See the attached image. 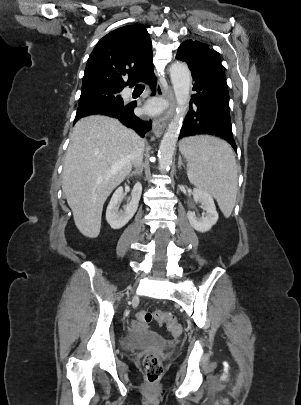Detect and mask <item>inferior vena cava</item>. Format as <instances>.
I'll list each match as a JSON object with an SVG mask.
<instances>
[{"label":"inferior vena cava","mask_w":301,"mask_h":405,"mask_svg":"<svg viewBox=\"0 0 301 405\" xmlns=\"http://www.w3.org/2000/svg\"><path fill=\"white\" fill-rule=\"evenodd\" d=\"M143 152H144V141L141 138L137 137L131 152L132 164L137 169H139L142 166Z\"/></svg>","instance_id":"602c4592"}]
</instances>
